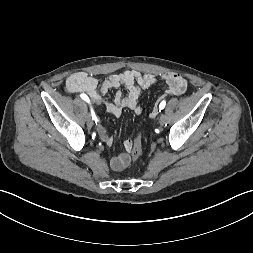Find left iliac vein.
Returning a JSON list of instances; mask_svg holds the SVG:
<instances>
[{
    "label": "left iliac vein",
    "mask_w": 253,
    "mask_h": 253,
    "mask_svg": "<svg viewBox=\"0 0 253 253\" xmlns=\"http://www.w3.org/2000/svg\"><path fill=\"white\" fill-rule=\"evenodd\" d=\"M166 121H167V117L165 116V115H161L160 117H159V123L160 124H164V123H166Z\"/></svg>",
    "instance_id": "obj_1"
}]
</instances>
